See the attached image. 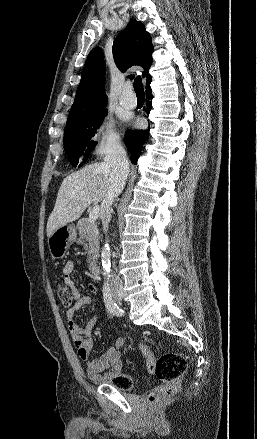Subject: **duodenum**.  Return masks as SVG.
Masks as SVG:
<instances>
[{
	"label": "duodenum",
	"instance_id": "obj_1",
	"mask_svg": "<svg viewBox=\"0 0 257 439\" xmlns=\"http://www.w3.org/2000/svg\"><path fill=\"white\" fill-rule=\"evenodd\" d=\"M90 271L92 275L98 276L100 274V266L96 262H91L90 264Z\"/></svg>",
	"mask_w": 257,
	"mask_h": 439
}]
</instances>
